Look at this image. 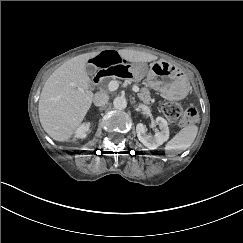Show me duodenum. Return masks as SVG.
Masks as SVG:
<instances>
[{
  "mask_svg": "<svg viewBox=\"0 0 243 243\" xmlns=\"http://www.w3.org/2000/svg\"><path fill=\"white\" fill-rule=\"evenodd\" d=\"M135 73L136 68L129 63L117 65L108 69L100 70L93 78V82L98 84L105 78L129 79L132 78Z\"/></svg>",
  "mask_w": 243,
  "mask_h": 243,
  "instance_id": "410a0bca",
  "label": "duodenum"
}]
</instances>
